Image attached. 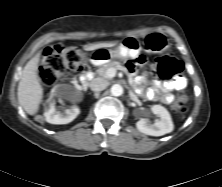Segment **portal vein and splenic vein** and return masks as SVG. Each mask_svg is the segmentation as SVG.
Returning a JSON list of instances; mask_svg holds the SVG:
<instances>
[{
    "label": "portal vein and splenic vein",
    "mask_w": 222,
    "mask_h": 187,
    "mask_svg": "<svg viewBox=\"0 0 222 187\" xmlns=\"http://www.w3.org/2000/svg\"><path fill=\"white\" fill-rule=\"evenodd\" d=\"M107 74L110 78L114 77L116 75V69L114 68L109 69Z\"/></svg>",
    "instance_id": "portal-vein-and-splenic-vein-1"
}]
</instances>
